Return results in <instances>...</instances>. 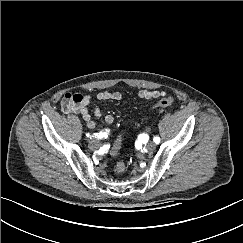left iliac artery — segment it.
<instances>
[{
  "label": "left iliac artery",
  "mask_w": 243,
  "mask_h": 243,
  "mask_svg": "<svg viewBox=\"0 0 243 243\" xmlns=\"http://www.w3.org/2000/svg\"><path fill=\"white\" fill-rule=\"evenodd\" d=\"M154 142L156 143V144H158L159 142H160V138L158 137V136H156V137H154Z\"/></svg>",
  "instance_id": "44dca946"
}]
</instances>
